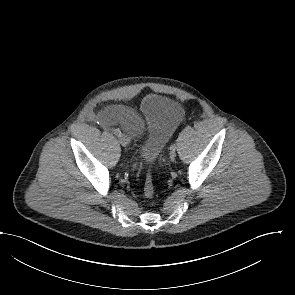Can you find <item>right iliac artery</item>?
<instances>
[{
	"instance_id": "right-iliac-artery-1",
	"label": "right iliac artery",
	"mask_w": 295,
	"mask_h": 295,
	"mask_svg": "<svg viewBox=\"0 0 295 295\" xmlns=\"http://www.w3.org/2000/svg\"><path fill=\"white\" fill-rule=\"evenodd\" d=\"M114 134L116 136H118V137L122 136V133H121V131L119 129H116L115 132H114Z\"/></svg>"
}]
</instances>
